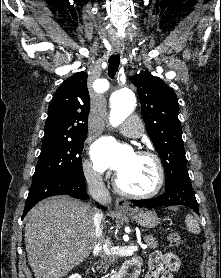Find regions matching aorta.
<instances>
[{"label":"aorta","mask_w":221,"mask_h":278,"mask_svg":"<svg viewBox=\"0 0 221 278\" xmlns=\"http://www.w3.org/2000/svg\"><path fill=\"white\" fill-rule=\"evenodd\" d=\"M111 112L110 123L116 127L121 124L134 110L136 98L134 93L129 89L115 92L110 99Z\"/></svg>","instance_id":"obj_1"}]
</instances>
